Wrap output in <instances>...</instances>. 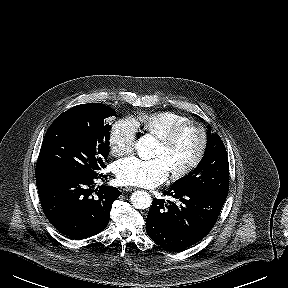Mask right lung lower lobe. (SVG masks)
<instances>
[{
    "mask_svg": "<svg viewBox=\"0 0 288 288\" xmlns=\"http://www.w3.org/2000/svg\"><path fill=\"white\" fill-rule=\"evenodd\" d=\"M66 174L36 177L42 209L50 223L72 239H84L104 230L109 222L113 202L121 192L110 186L92 190L94 179Z\"/></svg>",
    "mask_w": 288,
    "mask_h": 288,
    "instance_id": "1",
    "label": "right lung lower lobe"
}]
</instances>
